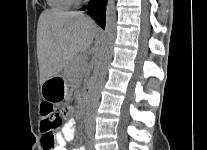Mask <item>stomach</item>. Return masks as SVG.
<instances>
[{
  "mask_svg": "<svg viewBox=\"0 0 207 150\" xmlns=\"http://www.w3.org/2000/svg\"><path fill=\"white\" fill-rule=\"evenodd\" d=\"M41 94L44 99L60 101L68 95V85L63 77H53L41 86Z\"/></svg>",
  "mask_w": 207,
  "mask_h": 150,
  "instance_id": "stomach-1",
  "label": "stomach"
}]
</instances>
